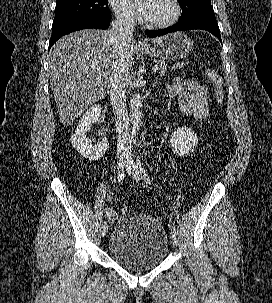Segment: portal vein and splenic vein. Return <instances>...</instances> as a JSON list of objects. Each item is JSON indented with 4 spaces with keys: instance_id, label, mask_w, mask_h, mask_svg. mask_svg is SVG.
<instances>
[{
    "instance_id": "1",
    "label": "portal vein and splenic vein",
    "mask_w": 272,
    "mask_h": 303,
    "mask_svg": "<svg viewBox=\"0 0 272 303\" xmlns=\"http://www.w3.org/2000/svg\"><path fill=\"white\" fill-rule=\"evenodd\" d=\"M158 70H159V68L157 66H155V67L152 68L153 72H157Z\"/></svg>"
}]
</instances>
